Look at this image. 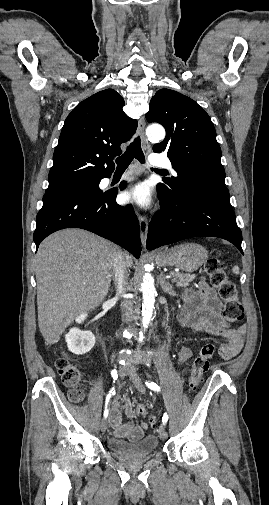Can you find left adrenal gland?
<instances>
[{
    "instance_id": "left-adrenal-gland-1",
    "label": "left adrenal gland",
    "mask_w": 269,
    "mask_h": 505,
    "mask_svg": "<svg viewBox=\"0 0 269 505\" xmlns=\"http://www.w3.org/2000/svg\"><path fill=\"white\" fill-rule=\"evenodd\" d=\"M160 285H161L162 290L166 294H169L170 296H175L176 295V293L174 292V289H173L172 285L168 281L165 280L163 274H161Z\"/></svg>"
}]
</instances>
